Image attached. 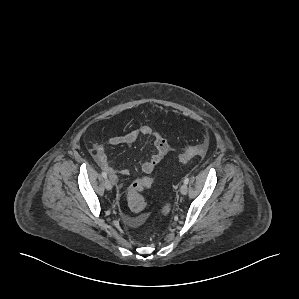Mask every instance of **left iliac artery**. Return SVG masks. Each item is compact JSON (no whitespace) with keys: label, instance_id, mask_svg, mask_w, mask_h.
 <instances>
[{"label":"left iliac artery","instance_id":"44dca946","mask_svg":"<svg viewBox=\"0 0 299 299\" xmlns=\"http://www.w3.org/2000/svg\"><path fill=\"white\" fill-rule=\"evenodd\" d=\"M188 182H189V178L188 177H185V179H184V184H188Z\"/></svg>","mask_w":299,"mask_h":299}]
</instances>
